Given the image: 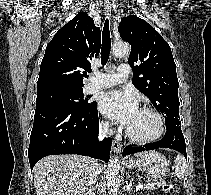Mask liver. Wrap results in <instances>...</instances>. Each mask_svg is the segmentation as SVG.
Masks as SVG:
<instances>
[{
    "mask_svg": "<svg viewBox=\"0 0 211 195\" xmlns=\"http://www.w3.org/2000/svg\"><path fill=\"white\" fill-rule=\"evenodd\" d=\"M144 154L138 153L136 156ZM90 165V159L80 155L44 157L33 169L36 194L85 195L89 186Z\"/></svg>",
    "mask_w": 211,
    "mask_h": 195,
    "instance_id": "6515ba94",
    "label": "liver"
}]
</instances>
